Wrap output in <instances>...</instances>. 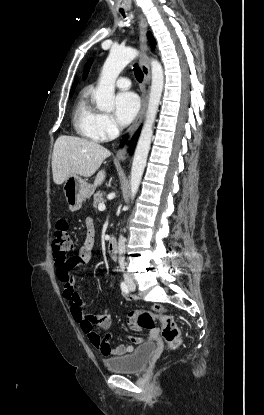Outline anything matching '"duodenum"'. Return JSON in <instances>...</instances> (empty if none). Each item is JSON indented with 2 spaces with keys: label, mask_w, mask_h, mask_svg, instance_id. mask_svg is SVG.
I'll return each mask as SVG.
<instances>
[{
  "label": "duodenum",
  "mask_w": 264,
  "mask_h": 415,
  "mask_svg": "<svg viewBox=\"0 0 264 415\" xmlns=\"http://www.w3.org/2000/svg\"><path fill=\"white\" fill-rule=\"evenodd\" d=\"M107 251L109 256L113 259L117 254V243L114 237H109L106 241Z\"/></svg>",
  "instance_id": "410a0bca"
}]
</instances>
